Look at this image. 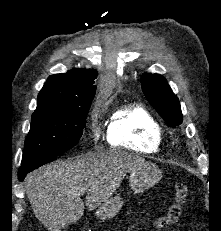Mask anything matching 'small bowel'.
<instances>
[{"label": "small bowel", "instance_id": "small-bowel-1", "mask_svg": "<svg viewBox=\"0 0 221 231\" xmlns=\"http://www.w3.org/2000/svg\"><path fill=\"white\" fill-rule=\"evenodd\" d=\"M144 231H150V230H148V229H144Z\"/></svg>", "mask_w": 221, "mask_h": 231}]
</instances>
